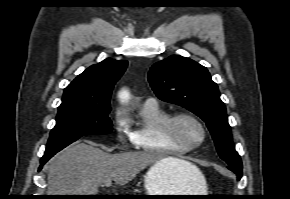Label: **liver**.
Listing matches in <instances>:
<instances>
[{
	"label": "liver",
	"instance_id": "6515ba94",
	"mask_svg": "<svg viewBox=\"0 0 290 199\" xmlns=\"http://www.w3.org/2000/svg\"><path fill=\"white\" fill-rule=\"evenodd\" d=\"M155 163H163L171 173L195 176L200 170L192 163L162 157L152 152L109 154L91 141L68 146L56 154L48 167V195H96L106 181L125 185Z\"/></svg>",
	"mask_w": 290,
	"mask_h": 199
}]
</instances>
